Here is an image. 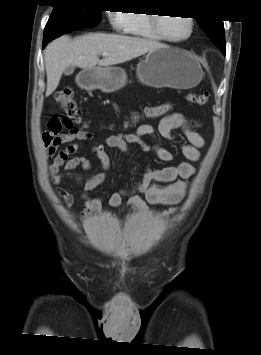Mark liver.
I'll return each mask as SVG.
<instances>
[{
    "instance_id": "obj_1",
    "label": "liver",
    "mask_w": 261,
    "mask_h": 355,
    "mask_svg": "<svg viewBox=\"0 0 261 355\" xmlns=\"http://www.w3.org/2000/svg\"><path fill=\"white\" fill-rule=\"evenodd\" d=\"M164 45L153 40L119 34L89 33L75 39L61 36L45 49L46 96L58 87L64 70L72 65L81 69L108 67L123 63ZM109 53L99 59V55Z\"/></svg>"
}]
</instances>
